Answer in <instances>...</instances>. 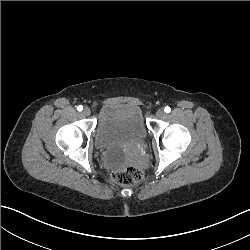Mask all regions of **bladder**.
<instances>
[{
  "mask_svg": "<svg viewBox=\"0 0 250 250\" xmlns=\"http://www.w3.org/2000/svg\"><path fill=\"white\" fill-rule=\"evenodd\" d=\"M146 139L144 115L138 106L111 102L101 107L98 123L93 131L97 151L102 148L116 149L122 144Z\"/></svg>",
  "mask_w": 250,
  "mask_h": 250,
  "instance_id": "bladder-1",
  "label": "bladder"
}]
</instances>
